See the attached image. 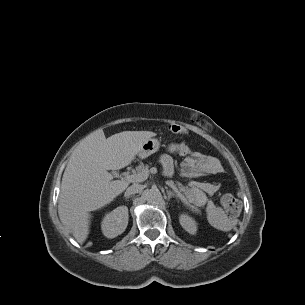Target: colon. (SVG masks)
Here are the masks:
<instances>
[{"label":"colon","mask_w":305,"mask_h":305,"mask_svg":"<svg viewBox=\"0 0 305 305\" xmlns=\"http://www.w3.org/2000/svg\"><path fill=\"white\" fill-rule=\"evenodd\" d=\"M169 130L173 134H177V135L187 134V130L184 127L176 124L170 125ZM221 205L225 210V212L231 217L236 216L240 211L239 201L231 194H226L222 197Z\"/></svg>","instance_id":"1"}]
</instances>
